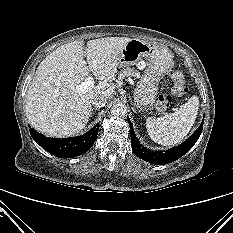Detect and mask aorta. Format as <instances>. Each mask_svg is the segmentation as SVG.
Returning <instances> with one entry per match:
<instances>
[{"instance_id": "1", "label": "aorta", "mask_w": 233, "mask_h": 233, "mask_svg": "<svg viewBox=\"0 0 233 233\" xmlns=\"http://www.w3.org/2000/svg\"><path fill=\"white\" fill-rule=\"evenodd\" d=\"M111 114L114 116H125L127 113V107L123 103H115L111 107Z\"/></svg>"}]
</instances>
